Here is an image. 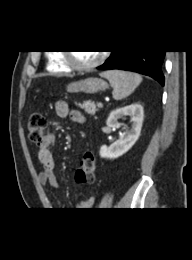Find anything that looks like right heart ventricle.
Returning <instances> with one entry per match:
<instances>
[{"label": "right heart ventricle", "instance_id": "right-heart-ventricle-1", "mask_svg": "<svg viewBox=\"0 0 192 260\" xmlns=\"http://www.w3.org/2000/svg\"><path fill=\"white\" fill-rule=\"evenodd\" d=\"M47 69L53 73H68L70 68L63 61L62 54L53 52L48 55Z\"/></svg>", "mask_w": 192, "mask_h": 260}]
</instances>
